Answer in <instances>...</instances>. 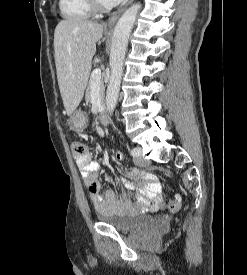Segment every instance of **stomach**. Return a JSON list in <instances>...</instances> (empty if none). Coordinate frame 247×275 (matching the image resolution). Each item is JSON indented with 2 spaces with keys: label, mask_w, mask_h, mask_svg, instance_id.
Wrapping results in <instances>:
<instances>
[{
  "label": "stomach",
  "mask_w": 247,
  "mask_h": 275,
  "mask_svg": "<svg viewBox=\"0 0 247 275\" xmlns=\"http://www.w3.org/2000/svg\"><path fill=\"white\" fill-rule=\"evenodd\" d=\"M69 123L72 128L81 131L87 125V118L82 111L76 110L70 115Z\"/></svg>",
  "instance_id": "0dacf381"
}]
</instances>
